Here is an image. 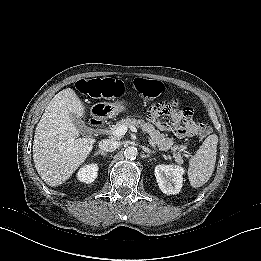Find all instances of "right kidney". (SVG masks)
I'll list each match as a JSON object with an SVG mask.
<instances>
[{
    "label": "right kidney",
    "instance_id": "obj_1",
    "mask_svg": "<svg viewBox=\"0 0 261 261\" xmlns=\"http://www.w3.org/2000/svg\"><path fill=\"white\" fill-rule=\"evenodd\" d=\"M97 165V164H95ZM94 164L87 166L86 168H80L77 173L78 179L82 182L91 183L97 177V166Z\"/></svg>",
    "mask_w": 261,
    "mask_h": 261
}]
</instances>
